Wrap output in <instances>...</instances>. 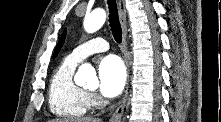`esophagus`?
Listing matches in <instances>:
<instances>
[{
  "instance_id": "obj_1",
  "label": "esophagus",
  "mask_w": 221,
  "mask_h": 122,
  "mask_svg": "<svg viewBox=\"0 0 221 122\" xmlns=\"http://www.w3.org/2000/svg\"><path fill=\"white\" fill-rule=\"evenodd\" d=\"M118 8H119V19H120V24H121V29H122V52H123V57L124 61L126 64L127 68V82H126V88H125V93L122 98V100L119 103V106L117 107L116 111L110 118L109 122H120L127 96H128V90H129V76H130V56H129V51L127 47V23H126V7H125V2L124 0H119L118 1Z\"/></svg>"
}]
</instances>
